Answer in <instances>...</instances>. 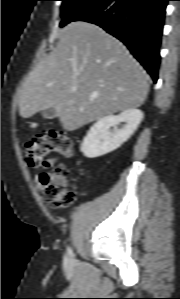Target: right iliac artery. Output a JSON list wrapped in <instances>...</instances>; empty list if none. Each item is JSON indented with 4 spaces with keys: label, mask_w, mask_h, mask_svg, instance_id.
<instances>
[{
    "label": "right iliac artery",
    "mask_w": 180,
    "mask_h": 299,
    "mask_svg": "<svg viewBox=\"0 0 180 299\" xmlns=\"http://www.w3.org/2000/svg\"><path fill=\"white\" fill-rule=\"evenodd\" d=\"M67 254L70 255V256L73 254L70 247H68V249H67Z\"/></svg>",
    "instance_id": "obj_1"
}]
</instances>
